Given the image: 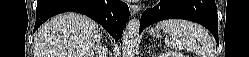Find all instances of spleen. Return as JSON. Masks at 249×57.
Listing matches in <instances>:
<instances>
[{"instance_id": "obj_1", "label": "spleen", "mask_w": 249, "mask_h": 57, "mask_svg": "<svg viewBox=\"0 0 249 57\" xmlns=\"http://www.w3.org/2000/svg\"><path fill=\"white\" fill-rule=\"evenodd\" d=\"M155 29L169 33L165 43L172 49L194 52L200 57H214V43L208 32L197 23L183 19H167L159 22ZM158 37H162L159 33Z\"/></svg>"}]
</instances>
